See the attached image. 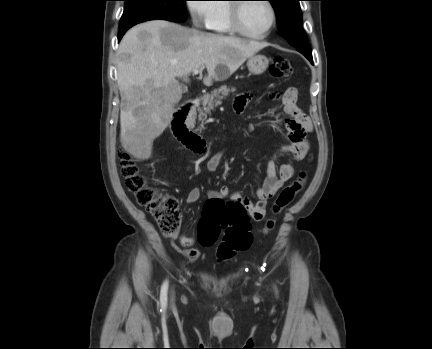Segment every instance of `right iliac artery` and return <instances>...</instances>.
I'll use <instances>...</instances> for the list:
<instances>
[{
  "label": "right iliac artery",
  "instance_id": "right-iliac-artery-1",
  "mask_svg": "<svg viewBox=\"0 0 432 349\" xmlns=\"http://www.w3.org/2000/svg\"><path fill=\"white\" fill-rule=\"evenodd\" d=\"M167 291H168V281H165L162 284L161 293H160L161 311L165 310L167 306Z\"/></svg>",
  "mask_w": 432,
  "mask_h": 349
}]
</instances>
